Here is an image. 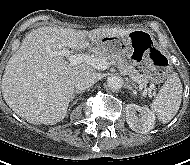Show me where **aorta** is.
<instances>
[{"label":"aorta","mask_w":190,"mask_h":165,"mask_svg":"<svg viewBox=\"0 0 190 165\" xmlns=\"http://www.w3.org/2000/svg\"><path fill=\"white\" fill-rule=\"evenodd\" d=\"M108 87L112 90H119L124 86V80L122 77L113 75L107 79Z\"/></svg>","instance_id":"1"}]
</instances>
